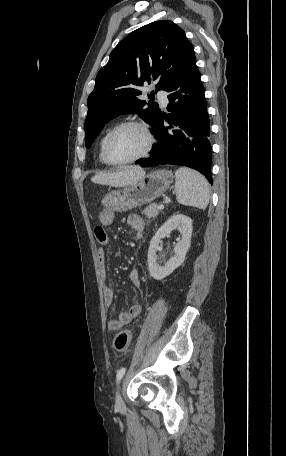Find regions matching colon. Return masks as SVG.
Instances as JSON below:
<instances>
[{
  "label": "colon",
  "instance_id": "5ec220e1",
  "mask_svg": "<svg viewBox=\"0 0 286 456\" xmlns=\"http://www.w3.org/2000/svg\"><path fill=\"white\" fill-rule=\"evenodd\" d=\"M130 341H131L130 331H122L114 339L115 350L118 352L125 351L129 347Z\"/></svg>",
  "mask_w": 286,
  "mask_h": 456
}]
</instances>
